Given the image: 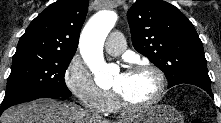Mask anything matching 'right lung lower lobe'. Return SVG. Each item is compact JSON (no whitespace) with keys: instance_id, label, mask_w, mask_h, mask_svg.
<instances>
[{"instance_id":"obj_1","label":"right lung lower lobe","mask_w":221,"mask_h":123,"mask_svg":"<svg viewBox=\"0 0 221 123\" xmlns=\"http://www.w3.org/2000/svg\"><path fill=\"white\" fill-rule=\"evenodd\" d=\"M43 98H54V99H57V98H63L61 97L60 95L56 94V93H50V94H46L43 96ZM8 107H5V108H1L0 110V115L2 114V112L4 110H6Z\"/></svg>"}]
</instances>
